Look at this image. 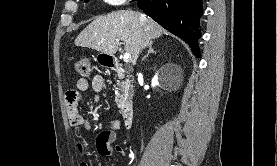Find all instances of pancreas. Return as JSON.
Wrapping results in <instances>:
<instances>
[{
	"mask_svg": "<svg viewBox=\"0 0 277 166\" xmlns=\"http://www.w3.org/2000/svg\"><path fill=\"white\" fill-rule=\"evenodd\" d=\"M117 85L119 86L118 91L116 92L115 102L117 105H120L124 99L128 98V91L130 88V81H118Z\"/></svg>",
	"mask_w": 277,
	"mask_h": 166,
	"instance_id": "obj_1",
	"label": "pancreas"
}]
</instances>
